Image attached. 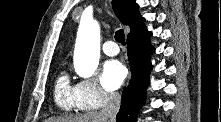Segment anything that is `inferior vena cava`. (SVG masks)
I'll return each mask as SVG.
<instances>
[{
  "label": "inferior vena cava",
  "instance_id": "inferior-vena-cava-1",
  "mask_svg": "<svg viewBox=\"0 0 221 122\" xmlns=\"http://www.w3.org/2000/svg\"><path fill=\"white\" fill-rule=\"evenodd\" d=\"M106 98L107 102L100 113L105 119H108V122H115L121 105V96L117 92H110Z\"/></svg>",
  "mask_w": 221,
  "mask_h": 122
}]
</instances>
